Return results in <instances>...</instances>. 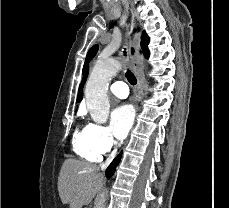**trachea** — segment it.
I'll return each instance as SVG.
<instances>
[{
    "label": "trachea",
    "instance_id": "obj_1",
    "mask_svg": "<svg viewBox=\"0 0 229 208\" xmlns=\"http://www.w3.org/2000/svg\"><path fill=\"white\" fill-rule=\"evenodd\" d=\"M124 55L126 56V51L124 50ZM125 76L128 80V82L131 84V85H136L137 83V80H136V77L135 75H133V73L131 72V70H127L126 73H125Z\"/></svg>",
    "mask_w": 229,
    "mask_h": 208
}]
</instances>
